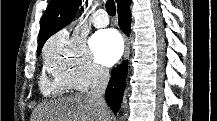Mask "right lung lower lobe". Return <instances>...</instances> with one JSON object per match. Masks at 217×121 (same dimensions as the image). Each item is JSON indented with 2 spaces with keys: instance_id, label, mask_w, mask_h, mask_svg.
Here are the masks:
<instances>
[{
  "instance_id": "right-lung-lower-lobe-1",
  "label": "right lung lower lobe",
  "mask_w": 217,
  "mask_h": 121,
  "mask_svg": "<svg viewBox=\"0 0 217 121\" xmlns=\"http://www.w3.org/2000/svg\"><path fill=\"white\" fill-rule=\"evenodd\" d=\"M130 0H122L118 3L119 26L122 31L129 35L131 24ZM128 65L123 62L117 68L113 69L111 78L106 89L105 98L108 106L117 113L120 109L123 93L125 89V79L127 77Z\"/></svg>"
}]
</instances>
